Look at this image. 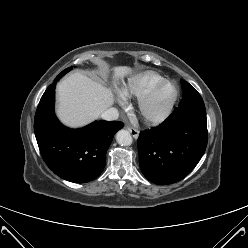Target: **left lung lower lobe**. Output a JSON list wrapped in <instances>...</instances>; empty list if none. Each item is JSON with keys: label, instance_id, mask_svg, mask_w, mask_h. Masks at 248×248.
<instances>
[{"label": "left lung lower lobe", "instance_id": "1", "mask_svg": "<svg viewBox=\"0 0 248 248\" xmlns=\"http://www.w3.org/2000/svg\"><path fill=\"white\" fill-rule=\"evenodd\" d=\"M207 146L205 106L177 109L159 126L140 132L139 164L144 176L159 185L172 184L187 176Z\"/></svg>", "mask_w": 248, "mask_h": 248}]
</instances>
